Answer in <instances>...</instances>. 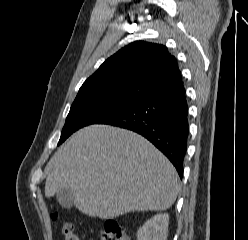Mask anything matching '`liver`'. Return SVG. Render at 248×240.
<instances>
[{
  "label": "liver",
  "instance_id": "1",
  "mask_svg": "<svg viewBox=\"0 0 248 240\" xmlns=\"http://www.w3.org/2000/svg\"><path fill=\"white\" fill-rule=\"evenodd\" d=\"M46 169L47 198L70 187L75 207L101 219L164 211L180 189L176 169L156 147L137 133L108 125L74 133Z\"/></svg>",
  "mask_w": 248,
  "mask_h": 240
}]
</instances>
